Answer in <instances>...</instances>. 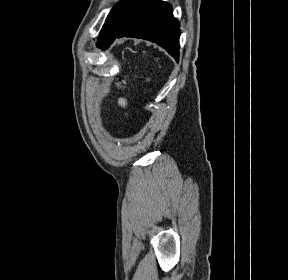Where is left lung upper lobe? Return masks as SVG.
I'll use <instances>...</instances> for the list:
<instances>
[{
	"label": "left lung upper lobe",
	"instance_id": "left-lung-upper-lobe-1",
	"mask_svg": "<svg viewBox=\"0 0 288 280\" xmlns=\"http://www.w3.org/2000/svg\"><path fill=\"white\" fill-rule=\"evenodd\" d=\"M146 0H121L108 14L97 40V47H101L111 40L128 17Z\"/></svg>",
	"mask_w": 288,
	"mask_h": 280
}]
</instances>
